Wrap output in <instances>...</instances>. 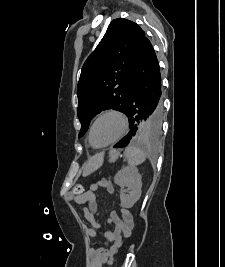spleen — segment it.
Returning a JSON list of instances; mask_svg holds the SVG:
<instances>
[{
    "instance_id": "3e777b00",
    "label": "spleen",
    "mask_w": 225,
    "mask_h": 267,
    "mask_svg": "<svg viewBox=\"0 0 225 267\" xmlns=\"http://www.w3.org/2000/svg\"><path fill=\"white\" fill-rule=\"evenodd\" d=\"M125 158L131 167H135L146 160V153L137 146H128L125 149Z\"/></svg>"
}]
</instances>
